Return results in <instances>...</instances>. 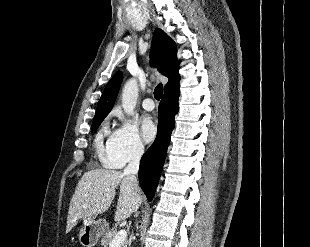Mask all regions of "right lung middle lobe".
<instances>
[{"instance_id": "obj_1", "label": "right lung middle lobe", "mask_w": 310, "mask_h": 247, "mask_svg": "<svg viewBox=\"0 0 310 247\" xmlns=\"http://www.w3.org/2000/svg\"><path fill=\"white\" fill-rule=\"evenodd\" d=\"M104 118L105 117H100V118L94 120V122L92 123L91 129L96 130L99 127V125L101 124V122L104 120Z\"/></svg>"}]
</instances>
